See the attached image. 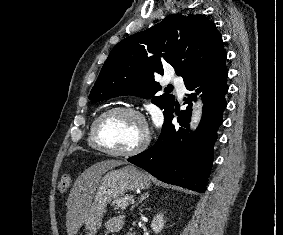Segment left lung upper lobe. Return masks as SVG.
I'll return each instance as SVG.
<instances>
[{
  "label": "left lung upper lobe",
  "instance_id": "left-lung-upper-lobe-1",
  "mask_svg": "<svg viewBox=\"0 0 283 235\" xmlns=\"http://www.w3.org/2000/svg\"><path fill=\"white\" fill-rule=\"evenodd\" d=\"M221 34L204 15L172 14L153 27L119 42L105 61L89 99L98 102L122 95L152 98L164 109L165 120L174 109V96L163 94L154 74L169 63L187 82L225 62Z\"/></svg>",
  "mask_w": 283,
  "mask_h": 235
}]
</instances>
